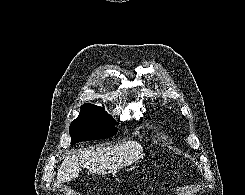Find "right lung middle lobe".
Here are the masks:
<instances>
[{
    "label": "right lung middle lobe",
    "mask_w": 245,
    "mask_h": 195,
    "mask_svg": "<svg viewBox=\"0 0 245 195\" xmlns=\"http://www.w3.org/2000/svg\"><path fill=\"white\" fill-rule=\"evenodd\" d=\"M118 124L101 107L85 103L81 106L79 116L69 127L71 144L112 137L117 133Z\"/></svg>",
    "instance_id": "obj_1"
}]
</instances>
